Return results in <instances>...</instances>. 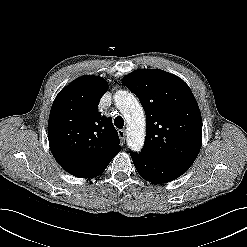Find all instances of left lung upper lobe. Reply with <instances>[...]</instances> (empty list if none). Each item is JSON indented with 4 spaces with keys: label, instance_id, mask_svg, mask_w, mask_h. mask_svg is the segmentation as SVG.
<instances>
[{
    "label": "left lung upper lobe",
    "instance_id": "left-lung-upper-lobe-1",
    "mask_svg": "<svg viewBox=\"0 0 247 247\" xmlns=\"http://www.w3.org/2000/svg\"><path fill=\"white\" fill-rule=\"evenodd\" d=\"M123 84L139 97L147 131L142 153L192 165L202 145V119L189 86L163 70H136Z\"/></svg>",
    "mask_w": 247,
    "mask_h": 247
}]
</instances>
